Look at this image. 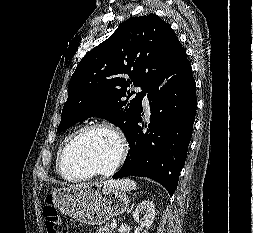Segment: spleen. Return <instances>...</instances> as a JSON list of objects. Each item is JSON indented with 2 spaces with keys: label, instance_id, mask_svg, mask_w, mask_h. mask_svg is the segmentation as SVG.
Segmentation results:
<instances>
[{
  "label": "spleen",
  "instance_id": "spleen-1",
  "mask_svg": "<svg viewBox=\"0 0 253 233\" xmlns=\"http://www.w3.org/2000/svg\"><path fill=\"white\" fill-rule=\"evenodd\" d=\"M111 185L124 191L136 190L137 188L136 182L130 179L112 181Z\"/></svg>",
  "mask_w": 253,
  "mask_h": 233
}]
</instances>
